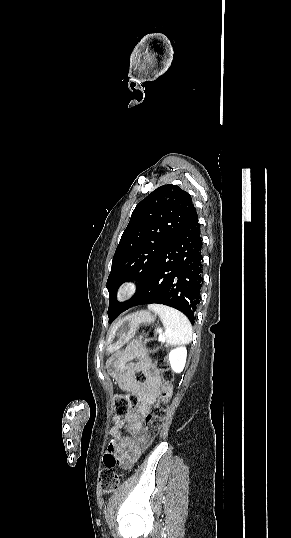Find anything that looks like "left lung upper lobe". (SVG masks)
<instances>
[{"label":"left lung upper lobe","instance_id":"obj_1","mask_svg":"<svg viewBox=\"0 0 291 538\" xmlns=\"http://www.w3.org/2000/svg\"><path fill=\"white\" fill-rule=\"evenodd\" d=\"M196 215L191 196L172 184L155 189L135 207L116 248L107 280L109 320L136 298L162 253ZM133 279L139 282L138 292L129 301L118 302L119 286Z\"/></svg>","mask_w":291,"mask_h":538}]
</instances>
